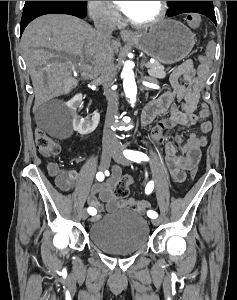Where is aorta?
Returning a JSON list of instances; mask_svg holds the SVG:
<instances>
[{"instance_id":"obj_1","label":"aorta","mask_w":237,"mask_h":300,"mask_svg":"<svg viewBox=\"0 0 237 300\" xmlns=\"http://www.w3.org/2000/svg\"><path fill=\"white\" fill-rule=\"evenodd\" d=\"M121 77H123L124 93L127 99H130V103L133 107L136 101L137 87L134 79V73L130 67L129 61H126L121 73Z\"/></svg>"}]
</instances>
